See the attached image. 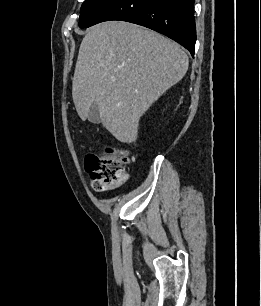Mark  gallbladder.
I'll use <instances>...</instances> for the list:
<instances>
[{
    "instance_id": "gallbladder-1",
    "label": "gallbladder",
    "mask_w": 261,
    "mask_h": 306,
    "mask_svg": "<svg viewBox=\"0 0 261 306\" xmlns=\"http://www.w3.org/2000/svg\"><path fill=\"white\" fill-rule=\"evenodd\" d=\"M88 120L98 124L100 122V109L97 103H93L89 109Z\"/></svg>"
}]
</instances>
